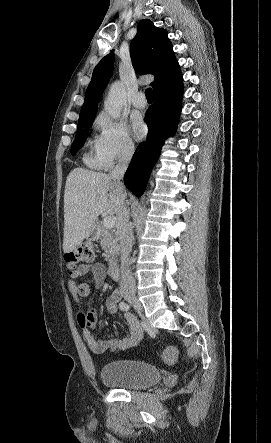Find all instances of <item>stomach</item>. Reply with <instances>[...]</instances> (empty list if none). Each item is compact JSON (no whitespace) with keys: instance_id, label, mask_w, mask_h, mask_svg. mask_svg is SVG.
I'll return each mask as SVG.
<instances>
[{"instance_id":"0dacf381","label":"stomach","mask_w":271,"mask_h":443,"mask_svg":"<svg viewBox=\"0 0 271 443\" xmlns=\"http://www.w3.org/2000/svg\"><path fill=\"white\" fill-rule=\"evenodd\" d=\"M99 237H100L99 227L97 223H95V225H93L92 227V231L88 233L86 239H88V241H96V239H99Z\"/></svg>"}]
</instances>
